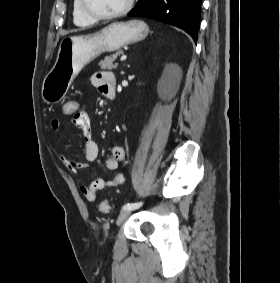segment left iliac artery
Segmentation results:
<instances>
[{
	"instance_id": "1",
	"label": "left iliac artery",
	"mask_w": 280,
	"mask_h": 283,
	"mask_svg": "<svg viewBox=\"0 0 280 283\" xmlns=\"http://www.w3.org/2000/svg\"><path fill=\"white\" fill-rule=\"evenodd\" d=\"M141 205H142V202L128 203V204H125V205L123 206V209H131V210H134V209L139 208Z\"/></svg>"
}]
</instances>
